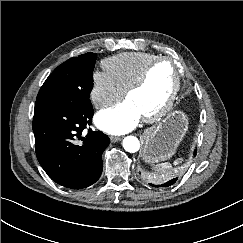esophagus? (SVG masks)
Returning a JSON list of instances; mask_svg holds the SVG:
<instances>
[{
	"label": "esophagus",
	"mask_w": 243,
	"mask_h": 243,
	"mask_svg": "<svg viewBox=\"0 0 243 243\" xmlns=\"http://www.w3.org/2000/svg\"><path fill=\"white\" fill-rule=\"evenodd\" d=\"M111 142H118L121 140V137L119 136H110Z\"/></svg>",
	"instance_id": "34e87169"
}]
</instances>
